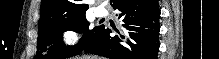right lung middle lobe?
Masks as SVG:
<instances>
[{"label":"right lung middle lobe","instance_id":"dd1d6c3e","mask_svg":"<svg viewBox=\"0 0 219 59\" xmlns=\"http://www.w3.org/2000/svg\"><path fill=\"white\" fill-rule=\"evenodd\" d=\"M90 23L85 14L51 21L39 28L37 38V52L34 59H66L79 54L99 36L103 26L89 29ZM72 30L84 35L75 46H66L63 43L64 31Z\"/></svg>","mask_w":219,"mask_h":59}]
</instances>
